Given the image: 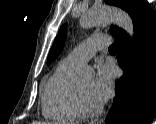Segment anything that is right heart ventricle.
Returning a JSON list of instances; mask_svg holds the SVG:
<instances>
[{
    "mask_svg": "<svg viewBox=\"0 0 156 124\" xmlns=\"http://www.w3.org/2000/svg\"><path fill=\"white\" fill-rule=\"evenodd\" d=\"M76 66L62 61L42 92V113L50 121L59 124H72L82 117L77 104L75 83L71 73Z\"/></svg>",
    "mask_w": 156,
    "mask_h": 124,
    "instance_id": "1",
    "label": "right heart ventricle"
}]
</instances>
